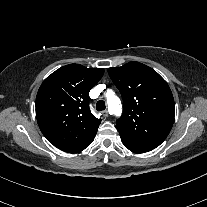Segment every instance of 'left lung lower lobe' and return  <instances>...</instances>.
<instances>
[{"instance_id": "1", "label": "left lung lower lobe", "mask_w": 207, "mask_h": 207, "mask_svg": "<svg viewBox=\"0 0 207 207\" xmlns=\"http://www.w3.org/2000/svg\"><path fill=\"white\" fill-rule=\"evenodd\" d=\"M121 139H122V143L126 148L136 153L148 152L157 147L150 144L139 143L134 140L127 139L125 137H121Z\"/></svg>"}]
</instances>
